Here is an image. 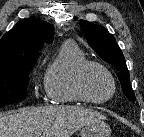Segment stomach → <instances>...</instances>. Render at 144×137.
Segmentation results:
<instances>
[{"label": "stomach", "mask_w": 144, "mask_h": 137, "mask_svg": "<svg viewBox=\"0 0 144 137\" xmlns=\"http://www.w3.org/2000/svg\"><path fill=\"white\" fill-rule=\"evenodd\" d=\"M110 126L103 120L85 125L81 129V137H110Z\"/></svg>", "instance_id": "stomach-1"}]
</instances>
